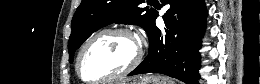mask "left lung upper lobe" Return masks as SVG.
I'll list each match as a JSON object with an SVG mask.
<instances>
[{
	"mask_svg": "<svg viewBox=\"0 0 260 84\" xmlns=\"http://www.w3.org/2000/svg\"><path fill=\"white\" fill-rule=\"evenodd\" d=\"M143 0H82L72 19L68 42L69 62L76 49L96 30L111 23L137 24L148 33L156 14L153 8H141Z\"/></svg>",
	"mask_w": 260,
	"mask_h": 84,
	"instance_id": "5c2ea615",
	"label": "left lung upper lobe"
}]
</instances>
